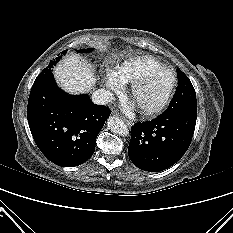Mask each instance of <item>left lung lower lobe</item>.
<instances>
[{"label": "left lung lower lobe", "instance_id": "0a47b994", "mask_svg": "<svg viewBox=\"0 0 233 233\" xmlns=\"http://www.w3.org/2000/svg\"><path fill=\"white\" fill-rule=\"evenodd\" d=\"M197 107L166 109L157 118L135 123L128 147L130 160L141 170L158 172L174 165L187 151Z\"/></svg>", "mask_w": 233, "mask_h": 233}]
</instances>
